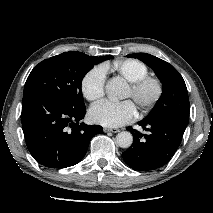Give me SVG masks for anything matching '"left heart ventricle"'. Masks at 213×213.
I'll return each mask as SVG.
<instances>
[{
	"instance_id": "obj_1",
	"label": "left heart ventricle",
	"mask_w": 213,
	"mask_h": 213,
	"mask_svg": "<svg viewBox=\"0 0 213 213\" xmlns=\"http://www.w3.org/2000/svg\"><path fill=\"white\" fill-rule=\"evenodd\" d=\"M151 94V89H146L143 94H142V98H146L148 97L149 95ZM125 98H129V99H133V96H132V92L130 90V88H128L127 92H126V95H125ZM135 102V101H134ZM136 103V102H135Z\"/></svg>"
}]
</instances>
